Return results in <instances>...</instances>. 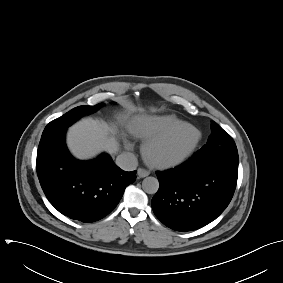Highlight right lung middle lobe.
<instances>
[{"mask_svg":"<svg viewBox=\"0 0 283 283\" xmlns=\"http://www.w3.org/2000/svg\"><path fill=\"white\" fill-rule=\"evenodd\" d=\"M101 107V104L95 106H79L76 107L63 116L51 121L44 129L42 137L52 134L53 132L66 129L72 123H74L78 118L85 114L94 113Z\"/></svg>","mask_w":283,"mask_h":283,"instance_id":"dd1d6c3e","label":"right lung middle lobe"}]
</instances>
